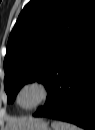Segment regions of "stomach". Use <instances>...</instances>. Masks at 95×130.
I'll return each mask as SVG.
<instances>
[{
  "mask_svg": "<svg viewBox=\"0 0 95 130\" xmlns=\"http://www.w3.org/2000/svg\"><path fill=\"white\" fill-rule=\"evenodd\" d=\"M16 130H51L48 123L40 118H30Z\"/></svg>",
  "mask_w": 95,
  "mask_h": 130,
  "instance_id": "0dacf381",
  "label": "stomach"
}]
</instances>
